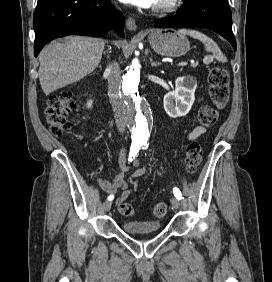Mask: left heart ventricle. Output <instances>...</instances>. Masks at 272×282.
<instances>
[{"instance_id":"b2bd125f","label":"left heart ventricle","mask_w":272,"mask_h":282,"mask_svg":"<svg viewBox=\"0 0 272 282\" xmlns=\"http://www.w3.org/2000/svg\"><path fill=\"white\" fill-rule=\"evenodd\" d=\"M169 1H170V0H157L154 6H155V7L161 6V5L166 4V3L169 2Z\"/></svg>"}]
</instances>
